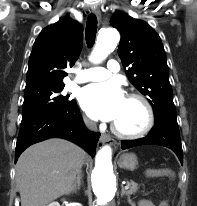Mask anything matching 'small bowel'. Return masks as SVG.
Segmentation results:
<instances>
[{
    "mask_svg": "<svg viewBox=\"0 0 197 206\" xmlns=\"http://www.w3.org/2000/svg\"><path fill=\"white\" fill-rule=\"evenodd\" d=\"M139 206H155V205L150 200L143 199L140 201ZM159 206H161V204Z\"/></svg>",
    "mask_w": 197,
    "mask_h": 206,
    "instance_id": "obj_1",
    "label": "small bowel"
}]
</instances>
